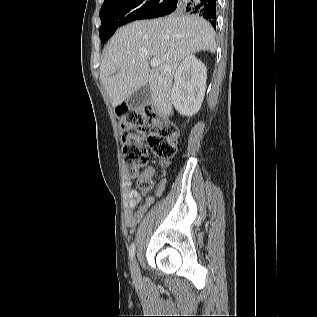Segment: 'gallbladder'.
Returning <instances> with one entry per match:
<instances>
[{
	"label": "gallbladder",
	"instance_id": "gallbladder-1",
	"mask_svg": "<svg viewBox=\"0 0 317 317\" xmlns=\"http://www.w3.org/2000/svg\"><path fill=\"white\" fill-rule=\"evenodd\" d=\"M151 100V92L148 85H145L135 91L126 99V103L130 109H139L146 106Z\"/></svg>",
	"mask_w": 317,
	"mask_h": 317
}]
</instances>
